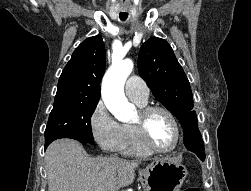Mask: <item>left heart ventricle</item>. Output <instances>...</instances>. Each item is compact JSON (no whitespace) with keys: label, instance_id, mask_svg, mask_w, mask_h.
Masks as SVG:
<instances>
[{"label":"left heart ventricle","instance_id":"left-heart-ventricle-1","mask_svg":"<svg viewBox=\"0 0 251 191\" xmlns=\"http://www.w3.org/2000/svg\"><path fill=\"white\" fill-rule=\"evenodd\" d=\"M141 119L138 111L134 122ZM148 137L151 143L161 151H171L177 144V132L172 120L162 112H155L148 121Z\"/></svg>","mask_w":251,"mask_h":191}]
</instances>
